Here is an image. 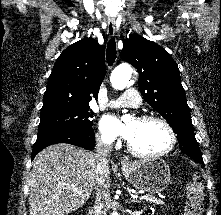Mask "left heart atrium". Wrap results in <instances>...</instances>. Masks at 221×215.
Returning <instances> with one entry per match:
<instances>
[{
  "label": "left heart atrium",
  "instance_id": "39dd6f15",
  "mask_svg": "<svg viewBox=\"0 0 221 215\" xmlns=\"http://www.w3.org/2000/svg\"><path fill=\"white\" fill-rule=\"evenodd\" d=\"M101 127L104 134L109 138L120 135L126 139H129L131 135V128L129 126H123L118 119L111 116H106L103 118Z\"/></svg>",
  "mask_w": 221,
  "mask_h": 215
}]
</instances>
